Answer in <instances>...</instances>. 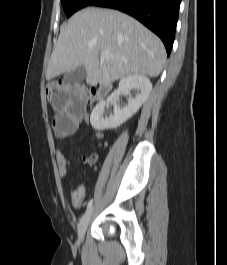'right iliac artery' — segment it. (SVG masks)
Returning <instances> with one entry per match:
<instances>
[{"label": "right iliac artery", "mask_w": 227, "mask_h": 265, "mask_svg": "<svg viewBox=\"0 0 227 265\" xmlns=\"http://www.w3.org/2000/svg\"><path fill=\"white\" fill-rule=\"evenodd\" d=\"M93 204V199H91L87 204V209H89Z\"/></svg>", "instance_id": "1"}]
</instances>
